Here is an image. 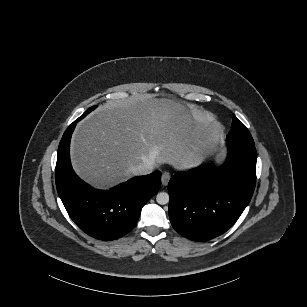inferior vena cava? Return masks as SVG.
I'll use <instances>...</instances> for the list:
<instances>
[{"label": "inferior vena cava", "mask_w": 307, "mask_h": 307, "mask_svg": "<svg viewBox=\"0 0 307 307\" xmlns=\"http://www.w3.org/2000/svg\"><path fill=\"white\" fill-rule=\"evenodd\" d=\"M128 170L133 176H143L151 173L152 167L148 163H143L135 167H130Z\"/></svg>", "instance_id": "602c4592"}]
</instances>
